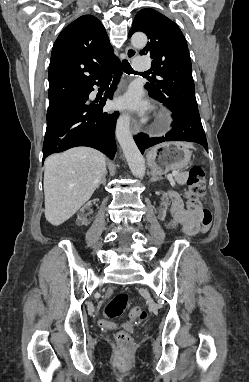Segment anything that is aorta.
<instances>
[{"label":"aorta","instance_id":"1","mask_svg":"<svg viewBox=\"0 0 249 382\" xmlns=\"http://www.w3.org/2000/svg\"><path fill=\"white\" fill-rule=\"evenodd\" d=\"M131 44L136 48H143L147 44L144 33H135L131 37ZM116 138L123 150L129 168L135 177L143 178L145 175V162L130 132V116L121 115L116 123Z\"/></svg>","mask_w":249,"mask_h":382}]
</instances>
